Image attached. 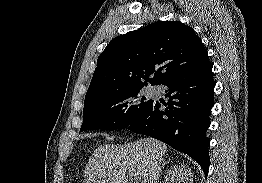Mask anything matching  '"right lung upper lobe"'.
<instances>
[{"label":"right lung upper lobe","instance_id":"1","mask_svg":"<svg viewBox=\"0 0 262 183\" xmlns=\"http://www.w3.org/2000/svg\"><path fill=\"white\" fill-rule=\"evenodd\" d=\"M208 61L207 50L191 27L180 21H158L107 45L97 60L85 102L147 86V81L159 85Z\"/></svg>","mask_w":262,"mask_h":183}]
</instances>
